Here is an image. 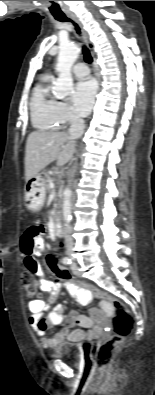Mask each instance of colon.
<instances>
[{
  "label": "colon",
  "instance_id": "5ec220e1",
  "mask_svg": "<svg viewBox=\"0 0 155 395\" xmlns=\"http://www.w3.org/2000/svg\"><path fill=\"white\" fill-rule=\"evenodd\" d=\"M61 249V244H54L53 249H48V255L44 257L45 262H47L48 267H51L52 272H59L60 270L55 254L56 251H61ZM31 264V258H26L24 264L26 271L22 274L21 280L26 295L30 299H34L37 297L41 286L40 282L31 271ZM60 277L63 279V285L64 283L79 285L80 288H86L87 292H91V294H95V296L101 298L106 304H112L113 334L109 339L100 342L95 351V358L98 366L100 368L108 367L113 355L132 331L134 318L131 312L123 302L105 294L104 289H100V287H96V285H90L89 281H83L82 278H70V272H61Z\"/></svg>",
  "mask_w": 155,
  "mask_h": 395
}]
</instances>
